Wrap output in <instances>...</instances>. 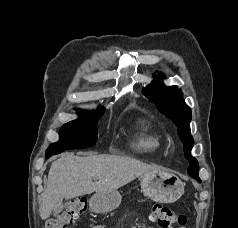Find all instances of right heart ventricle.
Listing matches in <instances>:
<instances>
[{
	"label": "right heart ventricle",
	"mask_w": 238,
	"mask_h": 228,
	"mask_svg": "<svg viewBox=\"0 0 238 228\" xmlns=\"http://www.w3.org/2000/svg\"><path fill=\"white\" fill-rule=\"evenodd\" d=\"M163 139L155 125L142 119L137 124V133L133 140V147L141 152H155L162 147Z\"/></svg>",
	"instance_id": "obj_1"
}]
</instances>
